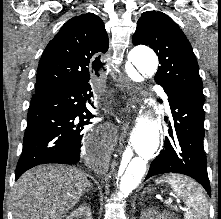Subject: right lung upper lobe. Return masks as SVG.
Masks as SVG:
<instances>
[{"mask_svg":"<svg viewBox=\"0 0 221 219\" xmlns=\"http://www.w3.org/2000/svg\"><path fill=\"white\" fill-rule=\"evenodd\" d=\"M104 23L93 13L67 21L48 43L39 62L35 94L89 82L108 49Z\"/></svg>","mask_w":221,"mask_h":219,"instance_id":"obj_1","label":"right lung upper lobe"}]
</instances>
